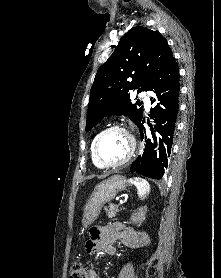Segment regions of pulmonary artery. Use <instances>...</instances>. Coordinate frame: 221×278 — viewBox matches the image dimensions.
Returning a JSON list of instances; mask_svg holds the SVG:
<instances>
[{
	"instance_id": "e3ab8cb5",
	"label": "pulmonary artery",
	"mask_w": 221,
	"mask_h": 278,
	"mask_svg": "<svg viewBox=\"0 0 221 278\" xmlns=\"http://www.w3.org/2000/svg\"><path fill=\"white\" fill-rule=\"evenodd\" d=\"M142 97L144 98L145 108L148 110L150 108V99L147 96L146 92H142Z\"/></svg>"
}]
</instances>
